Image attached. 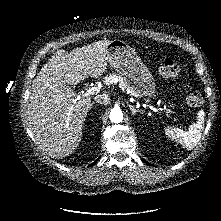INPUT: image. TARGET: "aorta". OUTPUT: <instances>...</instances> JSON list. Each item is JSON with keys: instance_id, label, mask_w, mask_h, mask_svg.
<instances>
[{"instance_id": "762f6f07", "label": "aorta", "mask_w": 221, "mask_h": 221, "mask_svg": "<svg viewBox=\"0 0 221 221\" xmlns=\"http://www.w3.org/2000/svg\"><path fill=\"white\" fill-rule=\"evenodd\" d=\"M109 117L113 123H119L123 120V113L120 108H113L110 111Z\"/></svg>"}]
</instances>
